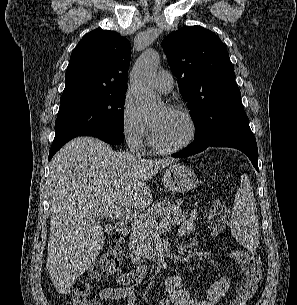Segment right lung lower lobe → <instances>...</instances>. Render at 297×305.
<instances>
[{
    "mask_svg": "<svg viewBox=\"0 0 297 305\" xmlns=\"http://www.w3.org/2000/svg\"><path fill=\"white\" fill-rule=\"evenodd\" d=\"M82 136H93L113 145L121 143L124 139L123 133H111V132H91V133H86ZM61 147L62 146L55 148L51 147L48 159L50 160Z\"/></svg>",
    "mask_w": 297,
    "mask_h": 305,
    "instance_id": "obj_1",
    "label": "right lung lower lobe"
}]
</instances>
